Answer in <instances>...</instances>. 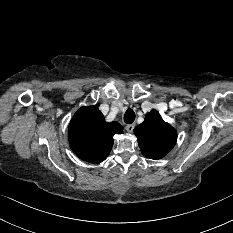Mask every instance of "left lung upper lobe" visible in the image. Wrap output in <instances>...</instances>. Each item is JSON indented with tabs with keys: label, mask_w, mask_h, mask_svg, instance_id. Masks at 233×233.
<instances>
[{
	"label": "left lung upper lobe",
	"mask_w": 233,
	"mask_h": 233,
	"mask_svg": "<svg viewBox=\"0 0 233 233\" xmlns=\"http://www.w3.org/2000/svg\"><path fill=\"white\" fill-rule=\"evenodd\" d=\"M134 133L142 154L155 160L167 155L177 140L176 130L156 110L146 115L144 122L135 127Z\"/></svg>",
	"instance_id": "obj_1"
}]
</instances>
